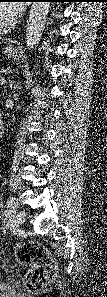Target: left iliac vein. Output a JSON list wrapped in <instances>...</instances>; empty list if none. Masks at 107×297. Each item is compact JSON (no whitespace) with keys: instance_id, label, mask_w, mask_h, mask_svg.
<instances>
[{"instance_id":"left-iliac-vein-1","label":"left iliac vein","mask_w":107,"mask_h":297,"mask_svg":"<svg viewBox=\"0 0 107 297\" xmlns=\"http://www.w3.org/2000/svg\"><path fill=\"white\" fill-rule=\"evenodd\" d=\"M25 218H26V213L24 211L17 212L13 220V228L19 229L24 223Z\"/></svg>"}]
</instances>
